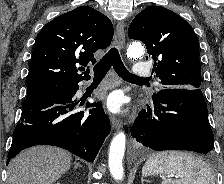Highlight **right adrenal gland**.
<instances>
[{
  "label": "right adrenal gland",
  "mask_w": 224,
  "mask_h": 184,
  "mask_svg": "<svg viewBox=\"0 0 224 184\" xmlns=\"http://www.w3.org/2000/svg\"><path fill=\"white\" fill-rule=\"evenodd\" d=\"M74 168L76 169L77 167H82V165H80L79 163H77V162H74Z\"/></svg>",
  "instance_id": "2a0ac1e0"
}]
</instances>
